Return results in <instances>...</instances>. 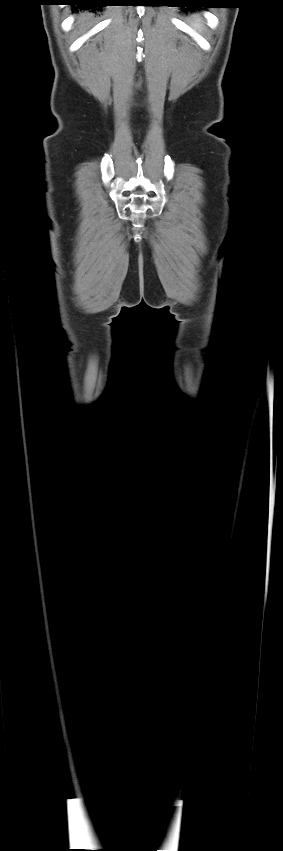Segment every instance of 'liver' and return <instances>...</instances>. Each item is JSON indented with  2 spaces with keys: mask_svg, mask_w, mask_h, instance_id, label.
Returning a JSON list of instances; mask_svg holds the SVG:
<instances>
[{
  "mask_svg": "<svg viewBox=\"0 0 283 851\" xmlns=\"http://www.w3.org/2000/svg\"><path fill=\"white\" fill-rule=\"evenodd\" d=\"M90 18H91L90 15L81 14L78 18V24L80 26L84 27V26L88 25Z\"/></svg>",
  "mask_w": 283,
  "mask_h": 851,
  "instance_id": "obj_1",
  "label": "liver"
}]
</instances>
